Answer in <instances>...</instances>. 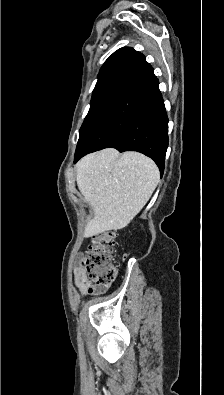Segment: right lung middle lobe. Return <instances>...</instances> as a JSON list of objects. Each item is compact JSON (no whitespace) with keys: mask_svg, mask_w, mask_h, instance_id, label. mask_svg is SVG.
<instances>
[{"mask_svg":"<svg viewBox=\"0 0 224 395\" xmlns=\"http://www.w3.org/2000/svg\"><path fill=\"white\" fill-rule=\"evenodd\" d=\"M117 75H118V72H113V73H110L108 75L98 78L97 84L93 90V95H92L91 104H90L91 105L90 110H89V112H88V114L81 126L80 133L82 132L85 125L89 121L90 117L96 110L97 106L100 104V102L103 100L104 96L110 90Z\"/></svg>","mask_w":224,"mask_h":395,"instance_id":"obj_1","label":"right lung middle lobe"}]
</instances>
